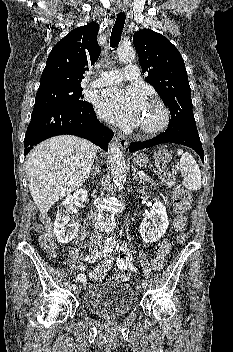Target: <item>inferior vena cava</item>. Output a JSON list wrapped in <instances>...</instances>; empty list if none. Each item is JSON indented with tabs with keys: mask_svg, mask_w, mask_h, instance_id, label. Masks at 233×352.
<instances>
[{
	"mask_svg": "<svg viewBox=\"0 0 233 352\" xmlns=\"http://www.w3.org/2000/svg\"><path fill=\"white\" fill-rule=\"evenodd\" d=\"M102 241V235L100 233H95L90 238L91 245H100Z\"/></svg>",
	"mask_w": 233,
	"mask_h": 352,
	"instance_id": "602c4592",
	"label": "inferior vena cava"
}]
</instances>
